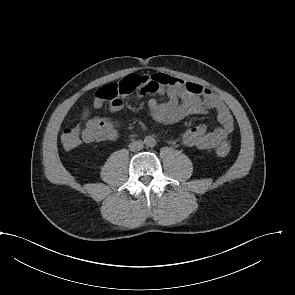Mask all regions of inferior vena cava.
I'll list each match as a JSON object with an SVG mask.
<instances>
[{
  "label": "inferior vena cava",
  "mask_w": 295,
  "mask_h": 295,
  "mask_svg": "<svg viewBox=\"0 0 295 295\" xmlns=\"http://www.w3.org/2000/svg\"><path fill=\"white\" fill-rule=\"evenodd\" d=\"M144 143L141 140L132 141L129 144V149L133 152L143 149Z\"/></svg>",
  "instance_id": "inferior-vena-cava-1"
}]
</instances>
